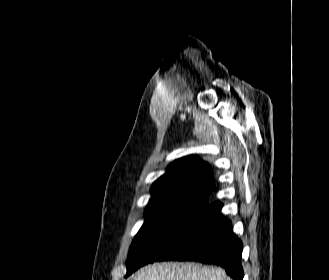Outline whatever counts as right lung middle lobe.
<instances>
[{
  "instance_id": "1",
  "label": "right lung middle lobe",
  "mask_w": 329,
  "mask_h": 280,
  "mask_svg": "<svg viewBox=\"0 0 329 280\" xmlns=\"http://www.w3.org/2000/svg\"><path fill=\"white\" fill-rule=\"evenodd\" d=\"M206 205L205 200L171 198L149 206L147 219L131 244L126 276L151 261Z\"/></svg>"
}]
</instances>
